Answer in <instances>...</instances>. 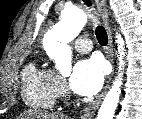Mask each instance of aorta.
<instances>
[{"label": "aorta", "mask_w": 142, "mask_h": 119, "mask_svg": "<svg viewBox=\"0 0 142 119\" xmlns=\"http://www.w3.org/2000/svg\"><path fill=\"white\" fill-rule=\"evenodd\" d=\"M87 21L88 15L83 10L76 7L66 8L61 14V20L44 35L43 48L62 75H69L72 70V52L68 43L78 36ZM116 43L119 54V74L99 109L97 119H113L119 102L122 70L125 65L123 60L125 56L124 40L120 34L116 35Z\"/></svg>", "instance_id": "1"}]
</instances>
